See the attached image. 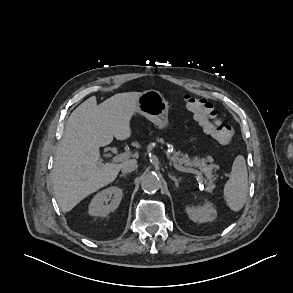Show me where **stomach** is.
I'll use <instances>...</instances> for the list:
<instances>
[{
	"label": "stomach",
	"instance_id": "obj_1",
	"mask_svg": "<svg viewBox=\"0 0 293 293\" xmlns=\"http://www.w3.org/2000/svg\"><path fill=\"white\" fill-rule=\"evenodd\" d=\"M137 112L145 116L159 129H166L169 126L168 102L164 96L155 90L145 91L137 99Z\"/></svg>",
	"mask_w": 293,
	"mask_h": 293
}]
</instances>
